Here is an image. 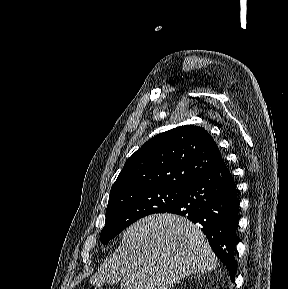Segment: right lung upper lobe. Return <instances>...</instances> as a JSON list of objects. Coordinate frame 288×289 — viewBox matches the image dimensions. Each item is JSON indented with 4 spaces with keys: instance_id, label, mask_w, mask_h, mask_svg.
Returning <instances> with one entry per match:
<instances>
[{
    "instance_id": "1",
    "label": "right lung upper lobe",
    "mask_w": 288,
    "mask_h": 289,
    "mask_svg": "<svg viewBox=\"0 0 288 289\" xmlns=\"http://www.w3.org/2000/svg\"><path fill=\"white\" fill-rule=\"evenodd\" d=\"M221 161L214 139L204 128L180 126L151 138L128 158L110 196L132 189H186Z\"/></svg>"
}]
</instances>
